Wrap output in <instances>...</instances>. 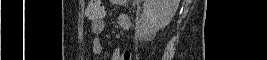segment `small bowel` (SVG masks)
Instances as JSON below:
<instances>
[{
  "label": "small bowel",
  "mask_w": 267,
  "mask_h": 60,
  "mask_svg": "<svg viewBox=\"0 0 267 60\" xmlns=\"http://www.w3.org/2000/svg\"><path fill=\"white\" fill-rule=\"evenodd\" d=\"M114 4L122 6L125 5V0H113L112 1ZM89 7L86 9V15L88 16V11ZM104 16V11L101 14L99 18L96 20H90V30L92 34L94 35L93 41H92V53L96 56L100 55L102 53L103 47H102V42L99 37V35L103 32L104 30V22L102 21V17ZM117 23L119 28L122 31H127L130 26H131V21L128 15L126 14H120L117 18ZM131 55L128 51L123 50L121 47H117L112 55V60H130Z\"/></svg>",
  "instance_id": "obj_1"
}]
</instances>
